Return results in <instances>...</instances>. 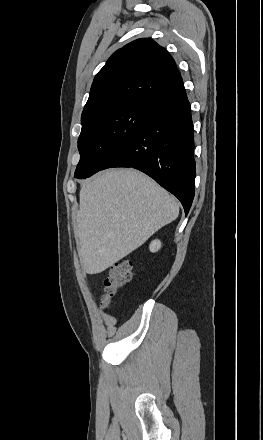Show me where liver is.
<instances>
[{
	"instance_id": "liver-1",
	"label": "liver",
	"mask_w": 263,
	"mask_h": 440,
	"mask_svg": "<svg viewBox=\"0 0 263 440\" xmlns=\"http://www.w3.org/2000/svg\"><path fill=\"white\" fill-rule=\"evenodd\" d=\"M75 230L83 270L98 274L179 215L176 199L145 174L112 169L84 183Z\"/></svg>"
}]
</instances>
